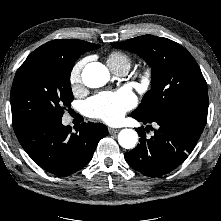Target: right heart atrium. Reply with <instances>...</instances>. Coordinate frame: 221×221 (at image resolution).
<instances>
[{
	"mask_svg": "<svg viewBox=\"0 0 221 221\" xmlns=\"http://www.w3.org/2000/svg\"><path fill=\"white\" fill-rule=\"evenodd\" d=\"M84 60L78 61L71 69L69 74V81L72 87V90L76 92L80 86L82 81V69L84 66Z\"/></svg>",
	"mask_w": 221,
	"mask_h": 221,
	"instance_id": "right-heart-atrium-1",
	"label": "right heart atrium"
}]
</instances>
